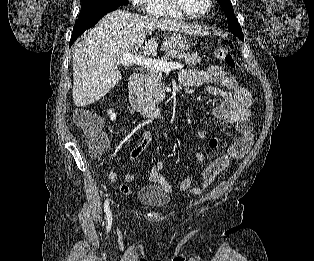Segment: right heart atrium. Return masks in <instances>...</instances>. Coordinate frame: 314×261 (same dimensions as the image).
I'll return each mask as SVG.
<instances>
[{"mask_svg":"<svg viewBox=\"0 0 314 261\" xmlns=\"http://www.w3.org/2000/svg\"><path fill=\"white\" fill-rule=\"evenodd\" d=\"M153 0H131L135 8L139 10H145L149 11L150 10V5Z\"/></svg>","mask_w":314,"mask_h":261,"instance_id":"1","label":"right heart atrium"}]
</instances>
